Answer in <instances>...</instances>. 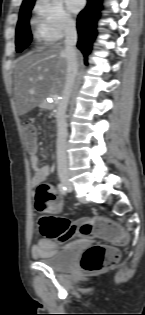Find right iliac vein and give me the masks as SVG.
Segmentation results:
<instances>
[{
    "label": "right iliac vein",
    "mask_w": 145,
    "mask_h": 315,
    "mask_svg": "<svg viewBox=\"0 0 145 315\" xmlns=\"http://www.w3.org/2000/svg\"><path fill=\"white\" fill-rule=\"evenodd\" d=\"M63 183H64L65 185H68V181H67V180H63Z\"/></svg>",
    "instance_id": "right-iliac-vein-1"
}]
</instances>
